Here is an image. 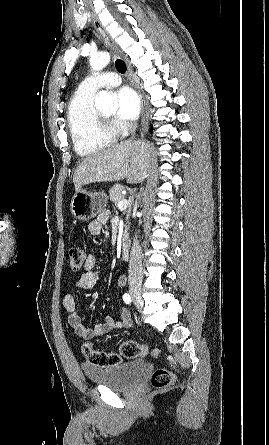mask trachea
Segmentation results:
<instances>
[{
    "instance_id": "3493384b",
    "label": "trachea",
    "mask_w": 269,
    "mask_h": 445,
    "mask_svg": "<svg viewBox=\"0 0 269 445\" xmlns=\"http://www.w3.org/2000/svg\"><path fill=\"white\" fill-rule=\"evenodd\" d=\"M115 66H116L118 72H120L121 74H124L126 72V65L123 60L116 59Z\"/></svg>"
}]
</instances>
